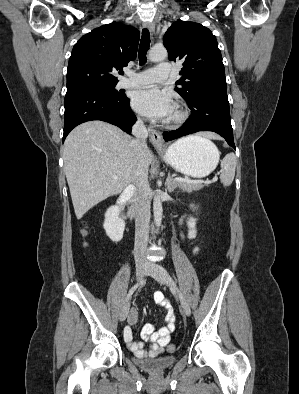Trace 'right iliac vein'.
I'll return each mask as SVG.
<instances>
[{
  "label": "right iliac vein",
  "instance_id": "63e3f726",
  "mask_svg": "<svg viewBox=\"0 0 299 394\" xmlns=\"http://www.w3.org/2000/svg\"><path fill=\"white\" fill-rule=\"evenodd\" d=\"M147 271V265L146 264H137L136 265V276H137V281L141 280V278L144 276V274ZM129 307L130 303H126L125 306L122 308L121 313H120V321H124L129 313Z\"/></svg>",
  "mask_w": 299,
  "mask_h": 394
}]
</instances>
